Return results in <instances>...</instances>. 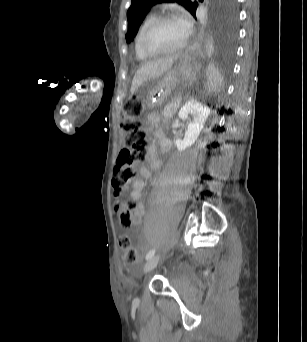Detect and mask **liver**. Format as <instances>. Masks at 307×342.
Masks as SVG:
<instances>
[{"label": "liver", "instance_id": "6515ba94", "mask_svg": "<svg viewBox=\"0 0 307 342\" xmlns=\"http://www.w3.org/2000/svg\"><path fill=\"white\" fill-rule=\"evenodd\" d=\"M178 56H171V58H160V60H154V62H146L139 70H136L134 78L131 84V94L137 92L139 86L145 82V80H154L159 78L164 72H168L169 68H172L174 60Z\"/></svg>", "mask_w": 307, "mask_h": 342}]
</instances>
